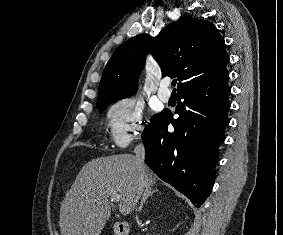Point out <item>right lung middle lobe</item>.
<instances>
[{
    "label": "right lung middle lobe",
    "instance_id": "right-lung-middle-lobe-1",
    "mask_svg": "<svg viewBox=\"0 0 283 235\" xmlns=\"http://www.w3.org/2000/svg\"><path fill=\"white\" fill-rule=\"evenodd\" d=\"M115 102V101H106V102H101V103H97V108H99V111L102 112L110 103ZM157 115L153 116V118L151 119V122L153 121V119L156 117ZM151 123H149L147 125V127L150 125Z\"/></svg>",
    "mask_w": 283,
    "mask_h": 235
}]
</instances>
